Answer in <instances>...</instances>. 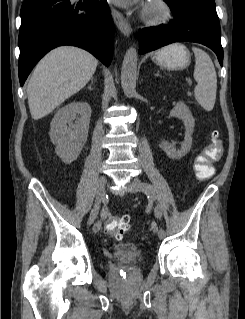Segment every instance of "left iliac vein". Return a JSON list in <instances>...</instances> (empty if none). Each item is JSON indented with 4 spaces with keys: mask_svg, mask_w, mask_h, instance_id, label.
Returning a JSON list of instances; mask_svg holds the SVG:
<instances>
[{
    "mask_svg": "<svg viewBox=\"0 0 245 319\" xmlns=\"http://www.w3.org/2000/svg\"><path fill=\"white\" fill-rule=\"evenodd\" d=\"M129 189L131 192L140 193L142 191L141 181L138 178H133L129 184ZM151 229L154 233H158L159 238L164 237L160 231H158V227L155 222L152 223Z\"/></svg>",
    "mask_w": 245,
    "mask_h": 319,
    "instance_id": "4c4485c4",
    "label": "left iliac vein"
}]
</instances>
